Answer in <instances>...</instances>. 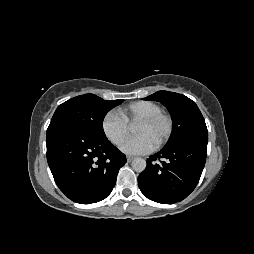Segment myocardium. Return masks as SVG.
<instances>
[{
    "label": "myocardium",
    "mask_w": 254,
    "mask_h": 254,
    "mask_svg": "<svg viewBox=\"0 0 254 254\" xmlns=\"http://www.w3.org/2000/svg\"><path fill=\"white\" fill-rule=\"evenodd\" d=\"M159 120H165L167 123V130L164 135V137L155 145V148H161L164 146L170 139L173 133V120L170 115L164 113V112H159L156 114H153L151 116L145 117L141 120L138 121V123L150 125L153 124Z\"/></svg>",
    "instance_id": "1"
}]
</instances>
